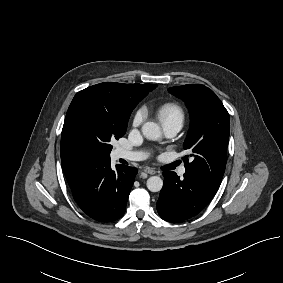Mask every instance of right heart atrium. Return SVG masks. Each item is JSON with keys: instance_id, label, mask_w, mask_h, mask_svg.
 Here are the masks:
<instances>
[{"instance_id": "d8ad5b80", "label": "right heart atrium", "mask_w": 283, "mask_h": 283, "mask_svg": "<svg viewBox=\"0 0 283 283\" xmlns=\"http://www.w3.org/2000/svg\"><path fill=\"white\" fill-rule=\"evenodd\" d=\"M145 119V111L143 108L138 109L133 118H132V126L134 128L139 127Z\"/></svg>"}]
</instances>
